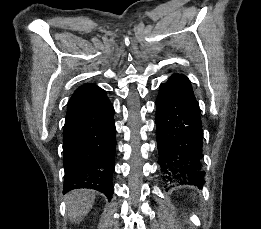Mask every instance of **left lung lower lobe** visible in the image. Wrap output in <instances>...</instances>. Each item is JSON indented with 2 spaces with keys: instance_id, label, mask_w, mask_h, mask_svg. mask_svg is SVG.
Instances as JSON below:
<instances>
[{
  "instance_id": "1",
  "label": "left lung lower lobe",
  "mask_w": 261,
  "mask_h": 229,
  "mask_svg": "<svg viewBox=\"0 0 261 229\" xmlns=\"http://www.w3.org/2000/svg\"><path fill=\"white\" fill-rule=\"evenodd\" d=\"M158 164L164 178L182 183H205L203 130L198 102L183 74H173L160 85L156 100Z\"/></svg>"
}]
</instances>
